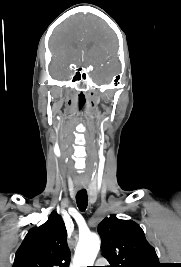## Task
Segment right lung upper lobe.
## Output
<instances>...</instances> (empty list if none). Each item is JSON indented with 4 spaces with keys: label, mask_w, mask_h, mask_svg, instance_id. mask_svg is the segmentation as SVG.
Instances as JSON below:
<instances>
[{
    "label": "right lung upper lobe",
    "mask_w": 181,
    "mask_h": 267,
    "mask_svg": "<svg viewBox=\"0 0 181 267\" xmlns=\"http://www.w3.org/2000/svg\"><path fill=\"white\" fill-rule=\"evenodd\" d=\"M69 261L65 224L52 212L45 224L29 230L12 267H69Z\"/></svg>",
    "instance_id": "right-lung-upper-lobe-1"
}]
</instances>
